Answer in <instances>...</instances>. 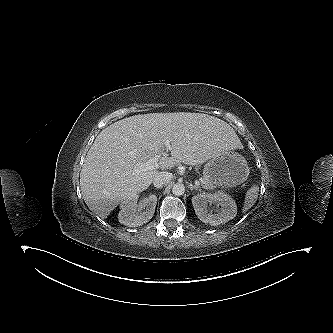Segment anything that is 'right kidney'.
<instances>
[{"mask_svg":"<svg viewBox=\"0 0 333 333\" xmlns=\"http://www.w3.org/2000/svg\"><path fill=\"white\" fill-rule=\"evenodd\" d=\"M138 195H130L120 205L119 222L128 227L141 226L154 215L157 203L156 195H150L137 204Z\"/></svg>","mask_w":333,"mask_h":333,"instance_id":"ca27d5eb","label":"right kidney"}]
</instances>
